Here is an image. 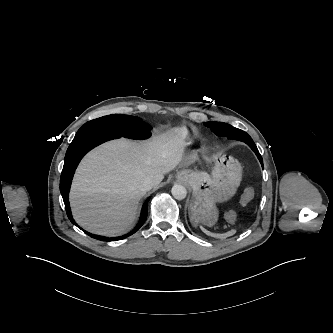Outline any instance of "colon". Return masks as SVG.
<instances>
[{"label":"colon","instance_id":"colon-1","mask_svg":"<svg viewBox=\"0 0 333 333\" xmlns=\"http://www.w3.org/2000/svg\"><path fill=\"white\" fill-rule=\"evenodd\" d=\"M255 195V189L252 187H249L244 190V192L241 195L240 203L242 205H246ZM226 218L229 222H235L237 218V214L235 211H228L226 213Z\"/></svg>","mask_w":333,"mask_h":333}]
</instances>
